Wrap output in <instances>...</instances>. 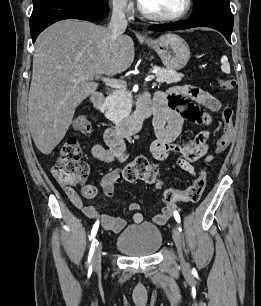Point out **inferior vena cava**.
<instances>
[{"instance_id": "1", "label": "inferior vena cava", "mask_w": 261, "mask_h": 306, "mask_svg": "<svg viewBox=\"0 0 261 306\" xmlns=\"http://www.w3.org/2000/svg\"><path fill=\"white\" fill-rule=\"evenodd\" d=\"M127 27V20L123 10L122 4H115L113 6L111 21L108 28L111 32L112 38L116 39L122 35Z\"/></svg>"}]
</instances>
